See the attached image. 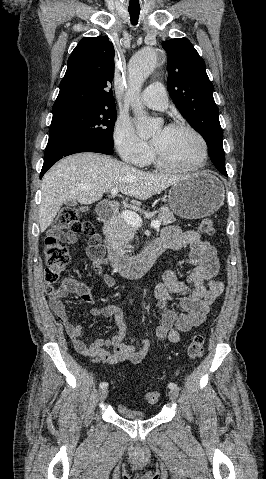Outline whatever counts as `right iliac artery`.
<instances>
[{"instance_id": "1", "label": "right iliac artery", "mask_w": 266, "mask_h": 479, "mask_svg": "<svg viewBox=\"0 0 266 479\" xmlns=\"http://www.w3.org/2000/svg\"><path fill=\"white\" fill-rule=\"evenodd\" d=\"M108 386V383L107 382H102L100 383L99 387L100 388H106Z\"/></svg>"}]
</instances>
